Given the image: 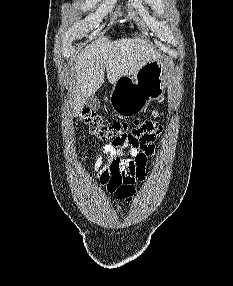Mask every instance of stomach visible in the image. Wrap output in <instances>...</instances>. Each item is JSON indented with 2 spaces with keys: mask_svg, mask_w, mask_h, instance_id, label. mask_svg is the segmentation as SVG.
<instances>
[{
  "mask_svg": "<svg viewBox=\"0 0 233 286\" xmlns=\"http://www.w3.org/2000/svg\"><path fill=\"white\" fill-rule=\"evenodd\" d=\"M167 68L165 59L159 57L143 65L132 78H119L110 95L113 110L130 118L142 112L152 100L159 99L165 91Z\"/></svg>",
  "mask_w": 233,
  "mask_h": 286,
  "instance_id": "0dacf381",
  "label": "stomach"
}]
</instances>
